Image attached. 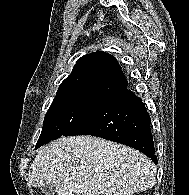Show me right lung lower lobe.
Listing matches in <instances>:
<instances>
[{"label": "right lung lower lobe", "instance_id": "obj_1", "mask_svg": "<svg viewBox=\"0 0 189 195\" xmlns=\"http://www.w3.org/2000/svg\"><path fill=\"white\" fill-rule=\"evenodd\" d=\"M150 124L142 100L125 86L109 94L80 125L64 136L92 135L125 144L157 164Z\"/></svg>", "mask_w": 189, "mask_h": 195}]
</instances>
